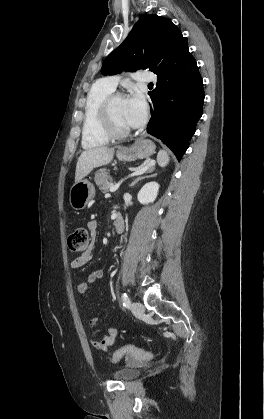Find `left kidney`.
<instances>
[{
	"mask_svg": "<svg viewBox=\"0 0 264 419\" xmlns=\"http://www.w3.org/2000/svg\"><path fill=\"white\" fill-rule=\"evenodd\" d=\"M159 191L157 182L146 183L139 191L137 198L141 204H149L155 201Z\"/></svg>",
	"mask_w": 264,
	"mask_h": 419,
	"instance_id": "5707ae66",
	"label": "left kidney"
}]
</instances>
